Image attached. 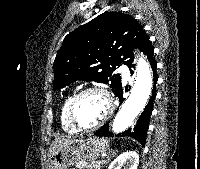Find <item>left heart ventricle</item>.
Wrapping results in <instances>:
<instances>
[{"label":"left heart ventricle","instance_id":"obj_1","mask_svg":"<svg viewBox=\"0 0 200 169\" xmlns=\"http://www.w3.org/2000/svg\"><path fill=\"white\" fill-rule=\"evenodd\" d=\"M107 109L105 98L97 92L82 96L75 107V117L81 127H91L103 117Z\"/></svg>","mask_w":200,"mask_h":169}]
</instances>
